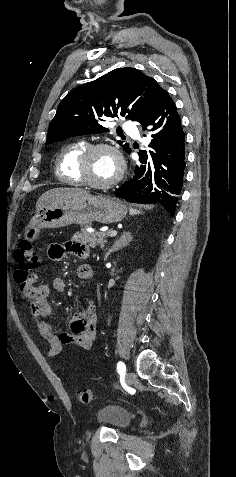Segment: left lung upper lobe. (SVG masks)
Returning <instances> with one entry per match:
<instances>
[{
	"label": "left lung upper lobe",
	"mask_w": 236,
	"mask_h": 477,
	"mask_svg": "<svg viewBox=\"0 0 236 477\" xmlns=\"http://www.w3.org/2000/svg\"><path fill=\"white\" fill-rule=\"evenodd\" d=\"M162 88L134 68H117L75 88L57 108L46 144L69 137L108 131L103 122L125 117L143 125L154 112ZM119 134V128L117 130ZM130 153L129 144L118 141Z\"/></svg>",
	"instance_id": "left-lung-upper-lobe-1"
}]
</instances>
